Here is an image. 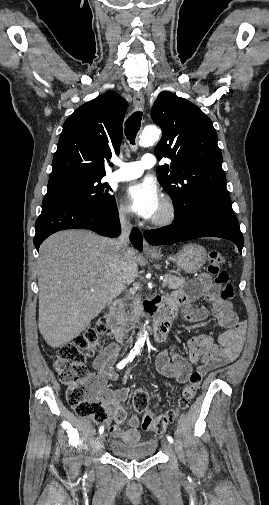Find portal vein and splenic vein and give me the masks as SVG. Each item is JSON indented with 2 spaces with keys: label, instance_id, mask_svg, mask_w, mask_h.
<instances>
[{
  "label": "portal vein and splenic vein",
  "instance_id": "1",
  "mask_svg": "<svg viewBox=\"0 0 269 505\" xmlns=\"http://www.w3.org/2000/svg\"><path fill=\"white\" fill-rule=\"evenodd\" d=\"M164 286H165V283L163 282V283H162V287H164Z\"/></svg>",
  "mask_w": 269,
  "mask_h": 505
}]
</instances>
